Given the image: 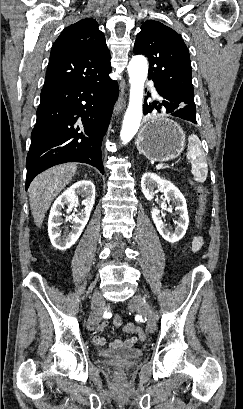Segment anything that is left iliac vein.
Instances as JSON below:
<instances>
[{
	"instance_id": "left-iliac-vein-1",
	"label": "left iliac vein",
	"mask_w": 243,
	"mask_h": 409,
	"mask_svg": "<svg viewBox=\"0 0 243 409\" xmlns=\"http://www.w3.org/2000/svg\"><path fill=\"white\" fill-rule=\"evenodd\" d=\"M130 307L137 308L147 318V329L153 333L156 329V315L153 309L140 296L130 302Z\"/></svg>"
}]
</instances>
